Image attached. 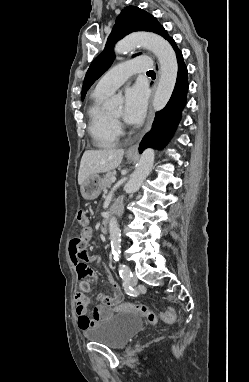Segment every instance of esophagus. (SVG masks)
Instances as JSON below:
<instances>
[{"label":"esophagus","instance_id":"1","mask_svg":"<svg viewBox=\"0 0 249 382\" xmlns=\"http://www.w3.org/2000/svg\"><path fill=\"white\" fill-rule=\"evenodd\" d=\"M154 116H155V114L153 111L152 100H151L149 112H148V117H147V123H146L145 129H144V132H147L151 128L153 120H154ZM127 153L128 154H137L138 153V143L130 146L127 150Z\"/></svg>","mask_w":249,"mask_h":382}]
</instances>
